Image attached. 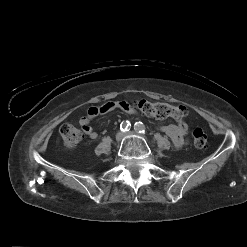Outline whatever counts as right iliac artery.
I'll list each match as a JSON object with an SVG mask.
<instances>
[{
	"mask_svg": "<svg viewBox=\"0 0 247 247\" xmlns=\"http://www.w3.org/2000/svg\"><path fill=\"white\" fill-rule=\"evenodd\" d=\"M130 129V122L129 121H123L121 124H120V130L125 132V131H128Z\"/></svg>",
	"mask_w": 247,
	"mask_h": 247,
	"instance_id": "1",
	"label": "right iliac artery"
}]
</instances>
